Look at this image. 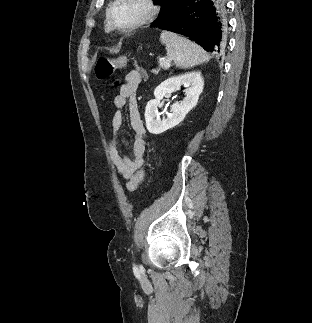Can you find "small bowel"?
Instances as JSON below:
<instances>
[{
	"label": "small bowel",
	"mask_w": 312,
	"mask_h": 323,
	"mask_svg": "<svg viewBox=\"0 0 312 323\" xmlns=\"http://www.w3.org/2000/svg\"><path fill=\"white\" fill-rule=\"evenodd\" d=\"M141 81L142 74L139 70H131L127 73L125 83L120 87L118 94L114 98L116 110L112 116L110 135L107 143V149L112 163L118 173L126 180L130 179L145 162L146 132L135 99ZM127 102H129L130 124L134 132L132 158L124 155L119 148L120 133L124 122L122 110Z\"/></svg>",
	"instance_id": "small-bowel-1"
}]
</instances>
